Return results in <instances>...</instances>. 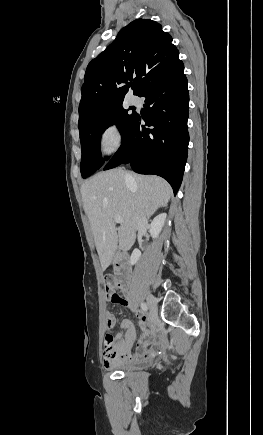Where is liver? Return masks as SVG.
I'll return each instance as SVG.
<instances>
[{"instance_id":"1","label":"liver","mask_w":263,"mask_h":435,"mask_svg":"<svg viewBox=\"0 0 263 435\" xmlns=\"http://www.w3.org/2000/svg\"><path fill=\"white\" fill-rule=\"evenodd\" d=\"M129 174L132 179L126 181ZM83 208L88 216L104 271L119 248L126 252L135 242L137 216H152L165 207L172 195L170 185L157 176L129 173L122 169L100 172L81 186ZM115 216L123 219L119 228Z\"/></svg>"}]
</instances>
